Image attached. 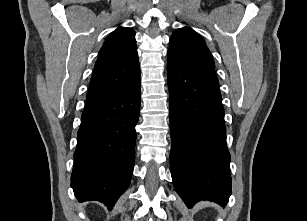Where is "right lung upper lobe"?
<instances>
[{
    "label": "right lung upper lobe",
    "instance_id": "right-lung-upper-lobe-1",
    "mask_svg": "<svg viewBox=\"0 0 307 221\" xmlns=\"http://www.w3.org/2000/svg\"><path fill=\"white\" fill-rule=\"evenodd\" d=\"M140 79L135 31L118 27L104 42L94 66L86 101L113 94Z\"/></svg>",
    "mask_w": 307,
    "mask_h": 221
}]
</instances>
